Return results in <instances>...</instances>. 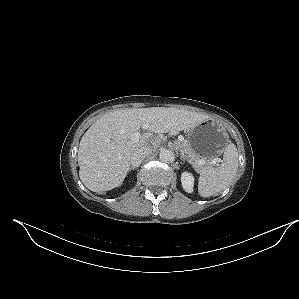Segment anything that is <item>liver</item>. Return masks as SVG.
<instances>
[{"instance_id":"1","label":"liver","mask_w":299,"mask_h":299,"mask_svg":"<svg viewBox=\"0 0 299 299\" xmlns=\"http://www.w3.org/2000/svg\"><path fill=\"white\" fill-rule=\"evenodd\" d=\"M209 116L176 108L150 107L112 111L101 116L82 136L78 150L79 176L93 192L108 191L124 181L130 157L150 148L153 133L188 130ZM148 130L136 143L131 135Z\"/></svg>"}]
</instances>
